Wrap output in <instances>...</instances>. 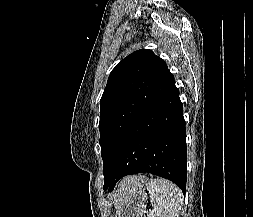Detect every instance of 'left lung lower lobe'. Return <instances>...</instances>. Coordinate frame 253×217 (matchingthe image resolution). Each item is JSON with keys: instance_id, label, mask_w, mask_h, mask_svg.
<instances>
[{"instance_id": "obj_1", "label": "left lung lower lobe", "mask_w": 253, "mask_h": 217, "mask_svg": "<svg viewBox=\"0 0 253 217\" xmlns=\"http://www.w3.org/2000/svg\"><path fill=\"white\" fill-rule=\"evenodd\" d=\"M144 172L169 179L186 191L185 121L175 84L130 126L118 146L104 190L112 191L123 176Z\"/></svg>"}]
</instances>
